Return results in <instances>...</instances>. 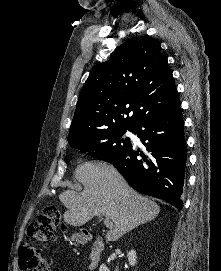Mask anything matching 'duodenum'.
Here are the masks:
<instances>
[{
    "label": "duodenum",
    "mask_w": 221,
    "mask_h": 271,
    "mask_svg": "<svg viewBox=\"0 0 221 271\" xmlns=\"http://www.w3.org/2000/svg\"><path fill=\"white\" fill-rule=\"evenodd\" d=\"M86 240H87V236L84 235L77 238L76 242L84 243L86 242ZM103 250H104V243L101 240H96L93 242L90 249V253H89V269L90 270H95L99 266L101 262Z\"/></svg>",
    "instance_id": "1"
}]
</instances>
